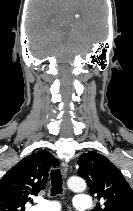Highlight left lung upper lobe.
<instances>
[{"label": "left lung upper lobe", "mask_w": 133, "mask_h": 211, "mask_svg": "<svg viewBox=\"0 0 133 211\" xmlns=\"http://www.w3.org/2000/svg\"><path fill=\"white\" fill-rule=\"evenodd\" d=\"M78 165L91 195L100 200L94 211H133V190L108 158L90 151L81 155Z\"/></svg>", "instance_id": "1"}]
</instances>
